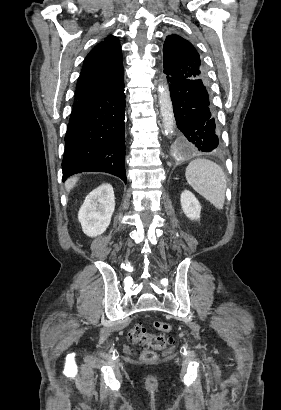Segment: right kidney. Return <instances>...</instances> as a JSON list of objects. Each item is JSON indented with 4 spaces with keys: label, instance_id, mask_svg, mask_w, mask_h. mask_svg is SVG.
<instances>
[{
    "label": "right kidney",
    "instance_id": "right-kidney-1",
    "mask_svg": "<svg viewBox=\"0 0 281 410\" xmlns=\"http://www.w3.org/2000/svg\"><path fill=\"white\" fill-rule=\"evenodd\" d=\"M115 209L113 187L104 183L91 191L78 213L83 232L90 237L102 234L111 222Z\"/></svg>",
    "mask_w": 281,
    "mask_h": 410
}]
</instances>
